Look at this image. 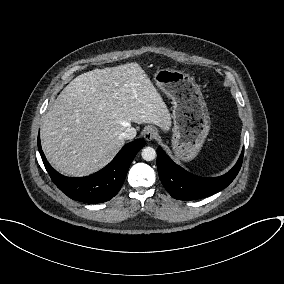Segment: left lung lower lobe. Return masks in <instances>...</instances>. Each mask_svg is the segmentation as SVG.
Listing matches in <instances>:
<instances>
[{
    "instance_id": "left-lung-lower-lobe-1",
    "label": "left lung lower lobe",
    "mask_w": 284,
    "mask_h": 284,
    "mask_svg": "<svg viewBox=\"0 0 284 284\" xmlns=\"http://www.w3.org/2000/svg\"><path fill=\"white\" fill-rule=\"evenodd\" d=\"M242 153L235 166L226 174L203 178L195 176L175 164L159 147L157 149V169L164 188L178 200H195L213 195L226 188L237 176L243 161Z\"/></svg>"
}]
</instances>
